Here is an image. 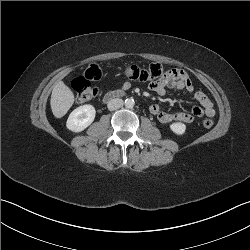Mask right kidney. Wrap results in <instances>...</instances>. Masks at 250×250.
<instances>
[{
	"label": "right kidney",
	"mask_w": 250,
	"mask_h": 250,
	"mask_svg": "<svg viewBox=\"0 0 250 250\" xmlns=\"http://www.w3.org/2000/svg\"><path fill=\"white\" fill-rule=\"evenodd\" d=\"M95 108L92 105H83L71 112L66 126L73 132H81L92 124L95 118Z\"/></svg>",
	"instance_id": "ca27d5eb"
}]
</instances>
